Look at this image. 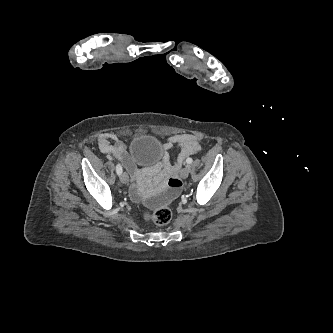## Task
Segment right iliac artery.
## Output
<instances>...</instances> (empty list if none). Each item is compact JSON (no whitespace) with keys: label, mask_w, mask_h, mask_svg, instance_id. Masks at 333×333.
Wrapping results in <instances>:
<instances>
[{"label":"right iliac artery","mask_w":333,"mask_h":333,"mask_svg":"<svg viewBox=\"0 0 333 333\" xmlns=\"http://www.w3.org/2000/svg\"><path fill=\"white\" fill-rule=\"evenodd\" d=\"M122 171H123L122 166L120 164H117V166H116V172H117V174L121 175Z\"/></svg>","instance_id":"right-iliac-artery-1"}]
</instances>
